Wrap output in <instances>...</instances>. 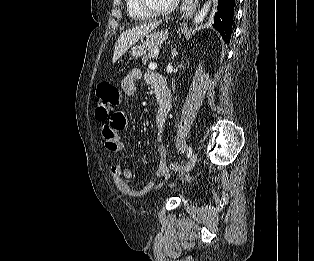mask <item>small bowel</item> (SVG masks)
I'll return each mask as SVG.
<instances>
[{
  "mask_svg": "<svg viewBox=\"0 0 314 261\" xmlns=\"http://www.w3.org/2000/svg\"><path fill=\"white\" fill-rule=\"evenodd\" d=\"M158 74L148 73L146 80L155 88V81ZM141 72L137 68H133L122 79L121 88L123 93L131 97L136 92V82L140 79ZM167 112L158 111L155 115L156 140L162 141L163 131L166 125ZM129 123V116L124 113L123 109H116L115 113L108 116V120L104 121V128L101 130L102 139L105 140V151H121L124 147L123 127ZM158 167L155 173V178L142 188H134L129 184L133 173L130 168L123 169L120 164H112L109 166V172L119 189V191L127 196H141L151 190L153 186H159L169 176V168L167 165V151L164 145L160 144L157 149Z\"/></svg>",
  "mask_w": 314,
  "mask_h": 261,
  "instance_id": "small-bowel-1",
  "label": "small bowel"
}]
</instances>
